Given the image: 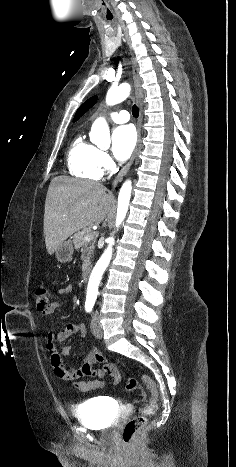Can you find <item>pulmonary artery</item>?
<instances>
[{
  "instance_id": "pulmonary-artery-1",
  "label": "pulmonary artery",
  "mask_w": 236,
  "mask_h": 467,
  "mask_svg": "<svg viewBox=\"0 0 236 467\" xmlns=\"http://www.w3.org/2000/svg\"><path fill=\"white\" fill-rule=\"evenodd\" d=\"M107 117L115 123H125L129 120V114L126 110L111 111Z\"/></svg>"
}]
</instances>
